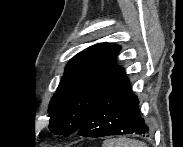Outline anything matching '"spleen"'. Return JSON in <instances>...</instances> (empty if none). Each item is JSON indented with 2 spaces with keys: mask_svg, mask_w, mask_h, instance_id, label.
Segmentation results:
<instances>
[{
  "mask_svg": "<svg viewBox=\"0 0 183 147\" xmlns=\"http://www.w3.org/2000/svg\"><path fill=\"white\" fill-rule=\"evenodd\" d=\"M103 147H147L141 141L128 138H112L103 142Z\"/></svg>",
  "mask_w": 183,
  "mask_h": 147,
  "instance_id": "obj_1",
  "label": "spleen"
}]
</instances>
